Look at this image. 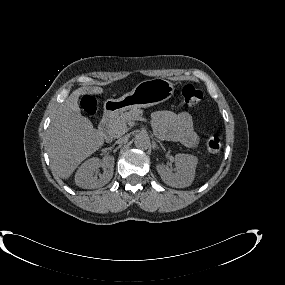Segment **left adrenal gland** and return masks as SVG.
Here are the masks:
<instances>
[{
	"mask_svg": "<svg viewBox=\"0 0 285 285\" xmlns=\"http://www.w3.org/2000/svg\"><path fill=\"white\" fill-rule=\"evenodd\" d=\"M157 142L160 144V146L163 148V145H162V143L159 141V140H157Z\"/></svg>",
	"mask_w": 285,
	"mask_h": 285,
	"instance_id": "a2214340",
	"label": "left adrenal gland"
}]
</instances>
